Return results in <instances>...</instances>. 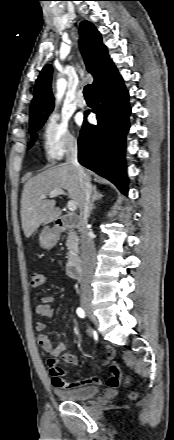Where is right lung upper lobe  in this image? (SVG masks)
<instances>
[{
	"label": "right lung upper lobe",
	"instance_id": "1",
	"mask_svg": "<svg viewBox=\"0 0 174 440\" xmlns=\"http://www.w3.org/2000/svg\"><path fill=\"white\" fill-rule=\"evenodd\" d=\"M80 49L84 56L87 70L93 75L94 89L103 80L113 63L102 43L101 34L94 25L82 21L79 28ZM52 66L46 65L40 72L35 84L34 98L30 107V125L46 120L54 108L51 92Z\"/></svg>",
	"mask_w": 174,
	"mask_h": 440
}]
</instances>
